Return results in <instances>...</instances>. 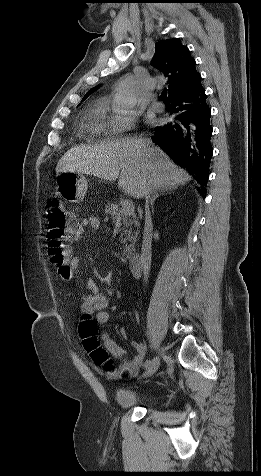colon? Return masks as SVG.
I'll return each instance as SVG.
<instances>
[{
    "label": "colon",
    "instance_id": "1",
    "mask_svg": "<svg viewBox=\"0 0 261 476\" xmlns=\"http://www.w3.org/2000/svg\"><path fill=\"white\" fill-rule=\"evenodd\" d=\"M47 249L50 260L60 275L66 279L71 276L67 243L74 237L78 223L76 217L65 209L60 200H51L46 206ZM80 336L91 359L98 365L111 368L108 353L97 338V326L91 316H83L79 326Z\"/></svg>",
    "mask_w": 261,
    "mask_h": 476
}]
</instances>
